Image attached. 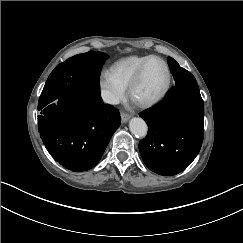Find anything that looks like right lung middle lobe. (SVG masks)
<instances>
[{"instance_id":"right-lung-middle-lobe-1","label":"right lung middle lobe","mask_w":243,"mask_h":243,"mask_svg":"<svg viewBox=\"0 0 243 243\" xmlns=\"http://www.w3.org/2000/svg\"><path fill=\"white\" fill-rule=\"evenodd\" d=\"M107 59L108 55L105 53L89 51L57 65L45 83L39 98L38 110L72 89L100 93V72Z\"/></svg>"}]
</instances>
